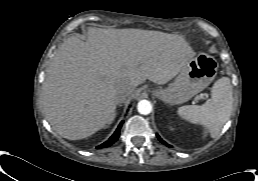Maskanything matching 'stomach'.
Wrapping results in <instances>:
<instances>
[{"instance_id": "1", "label": "stomach", "mask_w": 258, "mask_h": 181, "mask_svg": "<svg viewBox=\"0 0 258 181\" xmlns=\"http://www.w3.org/2000/svg\"><path fill=\"white\" fill-rule=\"evenodd\" d=\"M217 69L218 63L213 56L200 53L186 63L172 83L166 88H155L152 93L167 104L187 102L213 81Z\"/></svg>"}]
</instances>
